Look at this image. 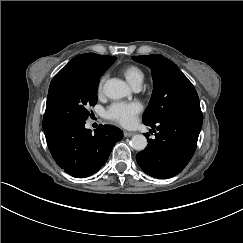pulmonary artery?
<instances>
[{
    "label": "pulmonary artery",
    "mask_w": 243,
    "mask_h": 243,
    "mask_svg": "<svg viewBox=\"0 0 243 243\" xmlns=\"http://www.w3.org/2000/svg\"><path fill=\"white\" fill-rule=\"evenodd\" d=\"M134 90H136V91L139 90V87H134Z\"/></svg>",
    "instance_id": "obj_1"
}]
</instances>
